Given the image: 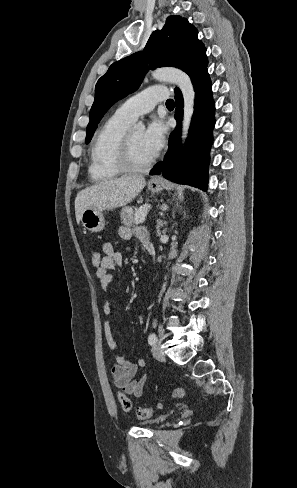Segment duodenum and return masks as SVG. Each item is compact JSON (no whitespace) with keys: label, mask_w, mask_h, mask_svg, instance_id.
<instances>
[{"label":"duodenum","mask_w":297,"mask_h":488,"mask_svg":"<svg viewBox=\"0 0 297 488\" xmlns=\"http://www.w3.org/2000/svg\"><path fill=\"white\" fill-rule=\"evenodd\" d=\"M146 249L150 255H153L155 252L154 246L153 245H148L146 246Z\"/></svg>","instance_id":"obj_1"}]
</instances>
